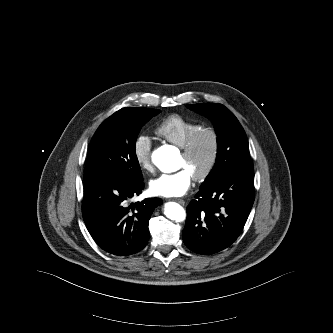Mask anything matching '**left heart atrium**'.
Masks as SVG:
<instances>
[{
  "instance_id": "obj_1",
  "label": "left heart atrium",
  "mask_w": 333,
  "mask_h": 333,
  "mask_svg": "<svg viewBox=\"0 0 333 333\" xmlns=\"http://www.w3.org/2000/svg\"><path fill=\"white\" fill-rule=\"evenodd\" d=\"M192 175L185 168L170 174H163L150 181V191L166 198L183 196L190 188Z\"/></svg>"
}]
</instances>
